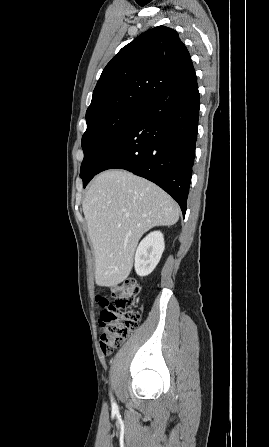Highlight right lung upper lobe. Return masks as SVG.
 <instances>
[{
  "label": "right lung upper lobe",
  "mask_w": 269,
  "mask_h": 447,
  "mask_svg": "<svg viewBox=\"0 0 269 447\" xmlns=\"http://www.w3.org/2000/svg\"><path fill=\"white\" fill-rule=\"evenodd\" d=\"M192 66L190 54L175 30L158 26L144 32L103 70L86 120L120 107L143 104Z\"/></svg>",
  "instance_id": "right-lung-upper-lobe-1"
}]
</instances>
